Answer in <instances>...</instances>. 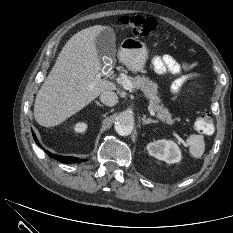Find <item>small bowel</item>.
I'll use <instances>...</instances> for the list:
<instances>
[{"instance_id":"c3829d8e","label":"small bowel","mask_w":233,"mask_h":233,"mask_svg":"<svg viewBox=\"0 0 233 233\" xmlns=\"http://www.w3.org/2000/svg\"><path fill=\"white\" fill-rule=\"evenodd\" d=\"M153 64L155 66V69L163 73L165 71H170L171 73H179L182 68L184 69H192L197 64L196 63H186L183 66H181L173 57L170 55H165L163 57H156L153 61ZM197 77L196 74H190V75H184L176 80L173 81L171 84V90L173 93L179 92V90L182 88V86L190 79Z\"/></svg>"}]
</instances>
